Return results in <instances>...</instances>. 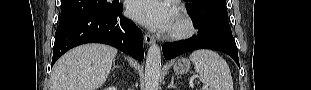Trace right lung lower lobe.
Returning a JSON list of instances; mask_svg holds the SVG:
<instances>
[{"label": "right lung lower lobe", "instance_id": "98d812e1", "mask_svg": "<svg viewBox=\"0 0 311 90\" xmlns=\"http://www.w3.org/2000/svg\"><path fill=\"white\" fill-rule=\"evenodd\" d=\"M119 4L111 12L85 13L59 23L51 66L69 49L85 43H104L114 46L132 57L143 60L141 30L122 15Z\"/></svg>", "mask_w": 311, "mask_h": 90}]
</instances>
